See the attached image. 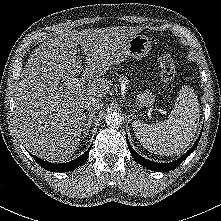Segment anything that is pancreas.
Masks as SVG:
<instances>
[{"label":"pancreas","instance_id":"cf45deb5","mask_svg":"<svg viewBox=\"0 0 221 221\" xmlns=\"http://www.w3.org/2000/svg\"><path fill=\"white\" fill-rule=\"evenodd\" d=\"M123 80H124V82H125L126 84H128L127 77H124V76H123Z\"/></svg>","mask_w":221,"mask_h":221}]
</instances>
